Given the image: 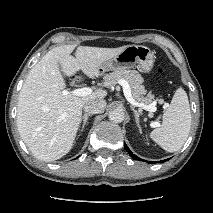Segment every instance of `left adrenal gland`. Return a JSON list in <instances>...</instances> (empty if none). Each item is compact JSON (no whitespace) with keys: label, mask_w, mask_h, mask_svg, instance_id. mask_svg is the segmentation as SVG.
I'll list each match as a JSON object with an SVG mask.
<instances>
[{"label":"left adrenal gland","mask_w":213,"mask_h":213,"mask_svg":"<svg viewBox=\"0 0 213 213\" xmlns=\"http://www.w3.org/2000/svg\"><path fill=\"white\" fill-rule=\"evenodd\" d=\"M131 109H132V111L134 112L136 124H137V126L140 128L139 117H140V115L142 114V112H141V111L135 110V108H134L133 106H131Z\"/></svg>","instance_id":"1"}]
</instances>
